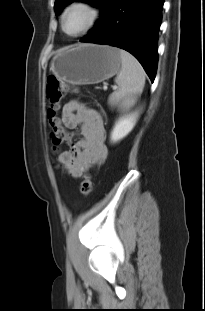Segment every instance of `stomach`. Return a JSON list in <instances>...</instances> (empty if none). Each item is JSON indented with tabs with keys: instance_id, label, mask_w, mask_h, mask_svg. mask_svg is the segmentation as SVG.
Here are the masks:
<instances>
[{
	"instance_id": "obj_1",
	"label": "stomach",
	"mask_w": 205,
	"mask_h": 311,
	"mask_svg": "<svg viewBox=\"0 0 205 311\" xmlns=\"http://www.w3.org/2000/svg\"><path fill=\"white\" fill-rule=\"evenodd\" d=\"M120 50L108 45L80 44L58 51L50 71L72 85L97 84L113 77L121 68Z\"/></svg>"
}]
</instances>
